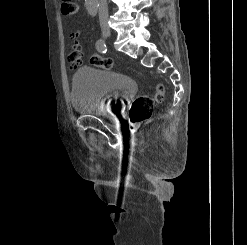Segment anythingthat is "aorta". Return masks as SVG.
Wrapping results in <instances>:
<instances>
[{"instance_id":"1","label":"aorta","mask_w":247,"mask_h":245,"mask_svg":"<svg viewBox=\"0 0 247 245\" xmlns=\"http://www.w3.org/2000/svg\"><path fill=\"white\" fill-rule=\"evenodd\" d=\"M87 10L90 15H95L97 12V0H85Z\"/></svg>"}]
</instances>
